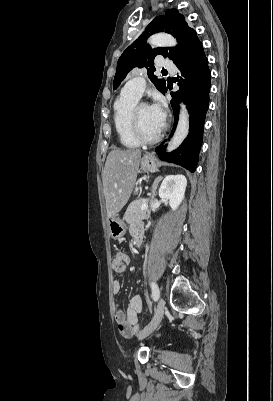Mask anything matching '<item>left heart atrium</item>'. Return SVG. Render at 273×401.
<instances>
[{"instance_id":"left-heart-atrium-1","label":"left heart atrium","mask_w":273,"mask_h":401,"mask_svg":"<svg viewBox=\"0 0 273 401\" xmlns=\"http://www.w3.org/2000/svg\"><path fill=\"white\" fill-rule=\"evenodd\" d=\"M147 107L154 121L162 128L166 121V110L163 101L155 99L154 102Z\"/></svg>"}]
</instances>
